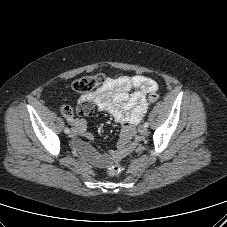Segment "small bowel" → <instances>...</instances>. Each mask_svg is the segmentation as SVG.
I'll return each mask as SVG.
<instances>
[{
	"label": "small bowel",
	"mask_w": 227,
	"mask_h": 227,
	"mask_svg": "<svg viewBox=\"0 0 227 227\" xmlns=\"http://www.w3.org/2000/svg\"><path fill=\"white\" fill-rule=\"evenodd\" d=\"M157 89L156 81L143 75L107 78L94 92L80 98L77 114L89 116L95 107L98 111L109 113L122 126L117 147L109 154H101L80 139L73 141V147L96 167H105L111 161L121 160L133 150L136 142L134 126L146 113L147 96ZM68 120L79 136L86 140L93 139L84 119L71 115Z\"/></svg>",
	"instance_id": "1"
}]
</instances>
